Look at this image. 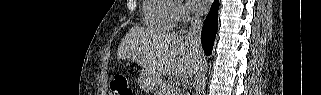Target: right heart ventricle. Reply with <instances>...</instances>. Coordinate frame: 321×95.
I'll return each instance as SVG.
<instances>
[{
  "label": "right heart ventricle",
  "mask_w": 321,
  "mask_h": 95,
  "mask_svg": "<svg viewBox=\"0 0 321 95\" xmlns=\"http://www.w3.org/2000/svg\"><path fill=\"white\" fill-rule=\"evenodd\" d=\"M145 25L155 31L170 32L177 19L174 14V2L170 0H145L143 7Z\"/></svg>",
  "instance_id": "1"
}]
</instances>
